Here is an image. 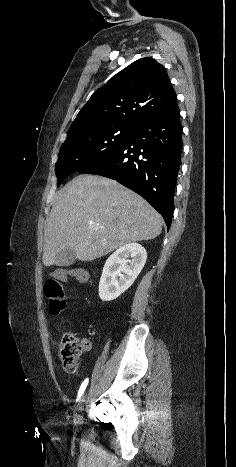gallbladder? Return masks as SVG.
<instances>
[{
  "instance_id": "gallbladder-1",
  "label": "gallbladder",
  "mask_w": 236,
  "mask_h": 467,
  "mask_svg": "<svg viewBox=\"0 0 236 467\" xmlns=\"http://www.w3.org/2000/svg\"><path fill=\"white\" fill-rule=\"evenodd\" d=\"M76 260L75 253L71 249H63L56 255L57 266L65 267L74 264Z\"/></svg>"
}]
</instances>
